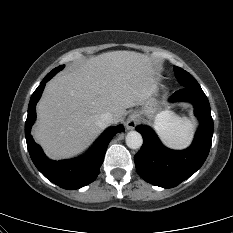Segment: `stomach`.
Here are the masks:
<instances>
[{"instance_id": "stomach-1", "label": "stomach", "mask_w": 233, "mask_h": 233, "mask_svg": "<svg viewBox=\"0 0 233 233\" xmlns=\"http://www.w3.org/2000/svg\"><path fill=\"white\" fill-rule=\"evenodd\" d=\"M159 109V103L154 98H152L141 104V109L138 110L137 113L141 118L145 117L151 121L156 116V113L159 111Z\"/></svg>"}]
</instances>
